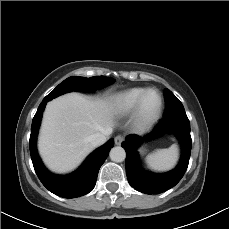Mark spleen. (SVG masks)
<instances>
[{
    "label": "spleen",
    "mask_w": 229,
    "mask_h": 229,
    "mask_svg": "<svg viewBox=\"0 0 229 229\" xmlns=\"http://www.w3.org/2000/svg\"><path fill=\"white\" fill-rule=\"evenodd\" d=\"M178 160V146L157 149L146 158V163L153 171L163 172L172 169Z\"/></svg>",
    "instance_id": "obj_1"
}]
</instances>
